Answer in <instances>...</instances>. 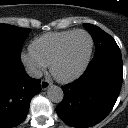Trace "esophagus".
I'll list each match as a JSON object with an SVG mask.
<instances>
[{
  "label": "esophagus",
  "mask_w": 128,
  "mask_h": 128,
  "mask_svg": "<svg viewBox=\"0 0 128 128\" xmlns=\"http://www.w3.org/2000/svg\"><path fill=\"white\" fill-rule=\"evenodd\" d=\"M51 85V83L47 80H42L41 81V89L42 90H46L47 88H49Z\"/></svg>",
  "instance_id": "esophagus-1"
}]
</instances>
